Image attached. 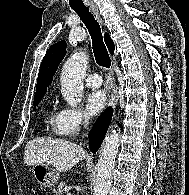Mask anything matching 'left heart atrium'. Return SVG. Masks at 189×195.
<instances>
[{
	"label": "left heart atrium",
	"mask_w": 189,
	"mask_h": 195,
	"mask_svg": "<svg viewBox=\"0 0 189 195\" xmlns=\"http://www.w3.org/2000/svg\"><path fill=\"white\" fill-rule=\"evenodd\" d=\"M107 102V95L104 90H92L86 96V108L90 115L97 114L103 109Z\"/></svg>",
	"instance_id": "left-heart-atrium-1"
}]
</instances>
